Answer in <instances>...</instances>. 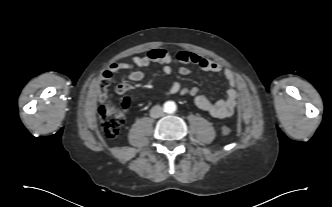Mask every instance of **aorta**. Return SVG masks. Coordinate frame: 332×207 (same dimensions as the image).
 Masks as SVG:
<instances>
[{"instance_id":"obj_1","label":"aorta","mask_w":332,"mask_h":207,"mask_svg":"<svg viewBox=\"0 0 332 207\" xmlns=\"http://www.w3.org/2000/svg\"><path fill=\"white\" fill-rule=\"evenodd\" d=\"M164 110L167 113H173L176 110V104L173 101H167L164 104Z\"/></svg>"}]
</instances>
